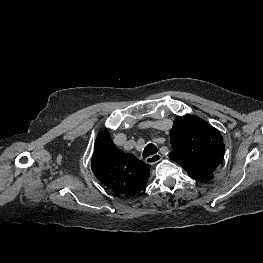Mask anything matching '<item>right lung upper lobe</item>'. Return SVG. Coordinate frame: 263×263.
Instances as JSON below:
<instances>
[{
	"mask_svg": "<svg viewBox=\"0 0 263 263\" xmlns=\"http://www.w3.org/2000/svg\"><path fill=\"white\" fill-rule=\"evenodd\" d=\"M91 162L94 175L117 195L139 193L145 188L150 175L149 165L119 150L107 129L97 135Z\"/></svg>",
	"mask_w": 263,
	"mask_h": 263,
	"instance_id": "right-lung-upper-lobe-1",
	"label": "right lung upper lobe"
}]
</instances>
